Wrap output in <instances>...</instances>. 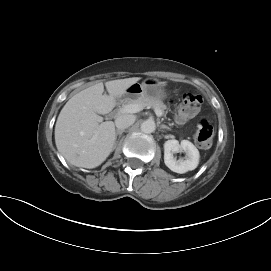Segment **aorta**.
I'll list each match as a JSON object with an SVG mask.
<instances>
[{"instance_id":"aorta-1","label":"aorta","mask_w":271,"mask_h":271,"mask_svg":"<svg viewBox=\"0 0 271 271\" xmlns=\"http://www.w3.org/2000/svg\"><path fill=\"white\" fill-rule=\"evenodd\" d=\"M155 128L156 125L153 120H146L140 126L141 131L146 134L153 133L155 131Z\"/></svg>"}]
</instances>
